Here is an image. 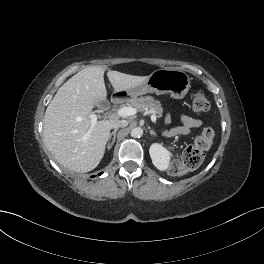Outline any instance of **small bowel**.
Instances as JSON below:
<instances>
[{
    "label": "small bowel",
    "instance_id": "obj_1",
    "mask_svg": "<svg viewBox=\"0 0 264 264\" xmlns=\"http://www.w3.org/2000/svg\"><path fill=\"white\" fill-rule=\"evenodd\" d=\"M167 122H169V118H167ZM180 122L181 123L179 126L167 129L165 131L166 135H187L193 128H197L201 125V120L188 115H182L180 118Z\"/></svg>",
    "mask_w": 264,
    "mask_h": 264
}]
</instances>
